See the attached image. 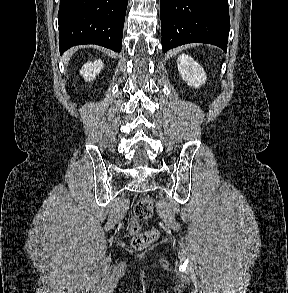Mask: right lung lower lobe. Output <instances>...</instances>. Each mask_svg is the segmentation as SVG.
I'll use <instances>...</instances> for the list:
<instances>
[{
    "instance_id": "98d812e1",
    "label": "right lung lower lobe",
    "mask_w": 288,
    "mask_h": 293,
    "mask_svg": "<svg viewBox=\"0 0 288 293\" xmlns=\"http://www.w3.org/2000/svg\"><path fill=\"white\" fill-rule=\"evenodd\" d=\"M128 0H60L59 49L96 44L121 51Z\"/></svg>"
}]
</instances>
